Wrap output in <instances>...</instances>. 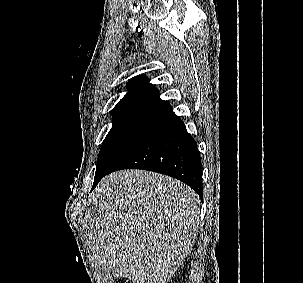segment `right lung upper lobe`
Instances as JSON below:
<instances>
[{"mask_svg": "<svg viewBox=\"0 0 303 283\" xmlns=\"http://www.w3.org/2000/svg\"><path fill=\"white\" fill-rule=\"evenodd\" d=\"M128 88L127 94L114 107L113 118L135 115L157 118L171 109L168 102L160 99L158 90L146 77L132 78Z\"/></svg>", "mask_w": 303, "mask_h": 283, "instance_id": "cb5924a9", "label": "right lung upper lobe"}]
</instances>
